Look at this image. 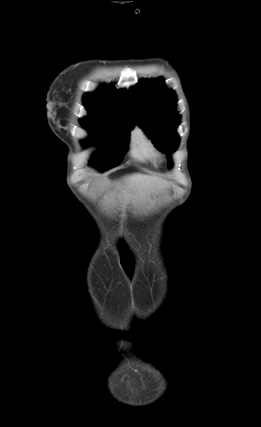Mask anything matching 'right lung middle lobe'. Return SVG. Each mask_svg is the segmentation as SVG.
<instances>
[{
    "mask_svg": "<svg viewBox=\"0 0 261 427\" xmlns=\"http://www.w3.org/2000/svg\"><path fill=\"white\" fill-rule=\"evenodd\" d=\"M81 125L91 133L90 140L83 144H95L98 150L91 162L102 170L118 166L128 148V136L134 123L123 121H100L81 119Z\"/></svg>",
    "mask_w": 261,
    "mask_h": 427,
    "instance_id": "obj_1",
    "label": "right lung middle lobe"
}]
</instances>
